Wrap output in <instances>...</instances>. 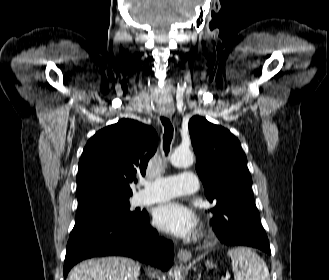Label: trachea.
Listing matches in <instances>:
<instances>
[{
	"label": "trachea",
	"mask_w": 329,
	"mask_h": 280,
	"mask_svg": "<svg viewBox=\"0 0 329 280\" xmlns=\"http://www.w3.org/2000/svg\"><path fill=\"white\" fill-rule=\"evenodd\" d=\"M162 125L164 126V134H163V149L165 154L167 155L170 150V144L173 138V126L169 119L165 117H161Z\"/></svg>",
	"instance_id": "trachea-1"
}]
</instances>
